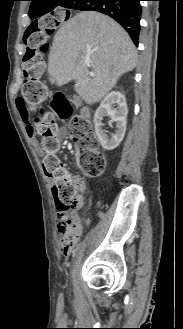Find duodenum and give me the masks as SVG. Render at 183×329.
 <instances>
[{
  "instance_id": "1",
  "label": "duodenum",
  "mask_w": 183,
  "mask_h": 329,
  "mask_svg": "<svg viewBox=\"0 0 183 329\" xmlns=\"http://www.w3.org/2000/svg\"><path fill=\"white\" fill-rule=\"evenodd\" d=\"M73 102H74V104H76V105H80V103H79V100L77 99V98H75L74 100H73ZM81 114H82V116L84 117V118H88L89 117V110L86 108V107H82V110H81Z\"/></svg>"
}]
</instances>
